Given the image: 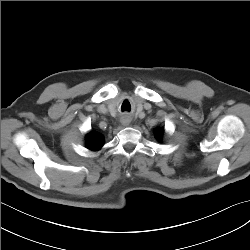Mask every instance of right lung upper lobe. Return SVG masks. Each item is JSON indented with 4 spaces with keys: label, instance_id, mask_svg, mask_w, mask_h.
<instances>
[{
    "label": "right lung upper lobe",
    "instance_id": "right-lung-upper-lobe-1",
    "mask_svg": "<svg viewBox=\"0 0 250 250\" xmlns=\"http://www.w3.org/2000/svg\"><path fill=\"white\" fill-rule=\"evenodd\" d=\"M104 144L103 136L95 133L90 132L86 137V145L87 148L90 150H97L100 149Z\"/></svg>",
    "mask_w": 250,
    "mask_h": 250
}]
</instances>
